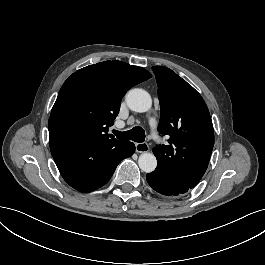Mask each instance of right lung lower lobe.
<instances>
[{
  "mask_svg": "<svg viewBox=\"0 0 265 265\" xmlns=\"http://www.w3.org/2000/svg\"><path fill=\"white\" fill-rule=\"evenodd\" d=\"M54 161L63 179L80 192H91L105 185L117 165L135 151L130 141L88 140L71 136H50Z\"/></svg>",
  "mask_w": 265,
  "mask_h": 265,
  "instance_id": "obj_1",
  "label": "right lung lower lobe"
}]
</instances>
